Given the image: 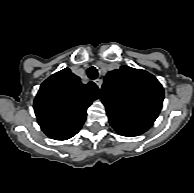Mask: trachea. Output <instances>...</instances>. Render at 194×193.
<instances>
[{"instance_id": "1", "label": "trachea", "mask_w": 194, "mask_h": 193, "mask_svg": "<svg viewBox=\"0 0 194 193\" xmlns=\"http://www.w3.org/2000/svg\"><path fill=\"white\" fill-rule=\"evenodd\" d=\"M87 75L90 79L94 80L97 78L98 76V70L95 68V67H90L88 70H87Z\"/></svg>"}]
</instances>
